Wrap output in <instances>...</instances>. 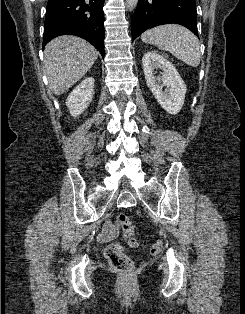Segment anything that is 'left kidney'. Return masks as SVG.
Listing matches in <instances>:
<instances>
[{"label": "left kidney", "mask_w": 245, "mask_h": 314, "mask_svg": "<svg viewBox=\"0 0 245 314\" xmlns=\"http://www.w3.org/2000/svg\"><path fill=\"white\" fill-rule=\"evenodd\" d=\"M142 66L147 86L161 107L169 114L179 113L184 104L186 85L174 65L155 51H147L142 58ZM156 68L163 70L162 77L154 76Z\"/></svg>", "instance_id": "1"}]
</instances>
